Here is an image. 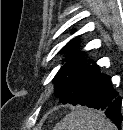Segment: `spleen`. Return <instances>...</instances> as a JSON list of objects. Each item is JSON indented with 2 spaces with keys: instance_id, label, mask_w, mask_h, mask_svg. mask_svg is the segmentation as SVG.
I'll return each instance as SVG.
<instances>
[{
  "instance_id": "spleen-1",
  "label": "spleen",
  "mask_w": 123,
  "mask_h": 130,
  "mask_svg": "<svg viewBox=\"0 0 123 130\" xmlns=\"http://www.w3.org/2000/svg\"><path fill=\"white\" fill-rule=\"evenodd\" d=\"M54 130H113V124L101 112L79 106L66 115Z\"/></svg>"
}]
</instances>
